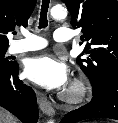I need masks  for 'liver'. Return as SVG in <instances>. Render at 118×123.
Listing matches in <instances>:
<instances>
[{
  "instance_id": "obj_1",
  "label": "liver",
  "mask_w": 118,
  "mask_h": 123,
  "mask_svg": "<svg viewBox=\"0 0 118 123\" xmlns=\"http://www.w3.org/2000/svg\"><path fill=\"white\" fill-rule=\"evenodd\" d=\"M0 123H18V121L7 110L0 107Z\"/></svg>"
}]
</instances>
